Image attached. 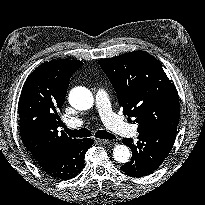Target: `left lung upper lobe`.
Listing matches in <instances>:
<instances>
[{"label":"left lung upper lobe","mask_w":205,"mask_h":205,"mask_svg":"<svg viewBox=\"0 0 205 205\" xmlns=\"http://www.w3.org/2000/svg\"><path fill=\"white\" fill-rule=\"evenodd\" d=\"M98 63L111 81L123 113L138 123L139 133L177 128L178 93L156 58L139 50Z\"/></svg>","instance_id":"1"}]
</instances>
